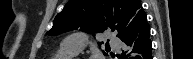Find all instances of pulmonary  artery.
Here are the masks:
<instances>
[{
    "mask_svg": "<svg viewBox=\"0 0 193 59\" xmlns=\"http://www.w3.org/2000/svg\"><path fill=\"white\" fill-rule=\"evenodd\" d=\"M87 41V37L84 34L78 33L66 36L61 48L63 50L72 51L74 53L80 52ZM110 44L118 47H122L124 43L117 38L112 37Z\"/></svg>",
    "mask_w": 193,
    "mask_h": 59,
    "instance_id": "obj_1",
    "label": "pulmonary artery"
}]
</instances>
